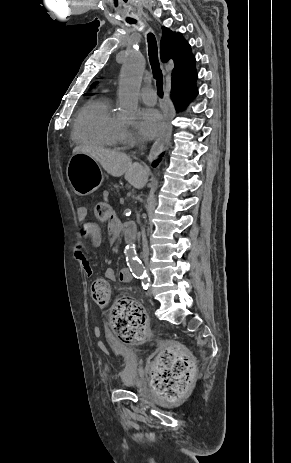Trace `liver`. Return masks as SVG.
<instances>
[{
    "mask_svg": "<svg viewBox=\"0 0 291 463\" xmlns=\"http://www.w3.org/2000/svg\"><path fill=\"white\" fill-rule=\"evenodd\" d=\"M75 153L89 155L114 177L124 175L125 179L137 189L143 188L148 181V169L138 162H132L125 153L84 145L76 146L73 149V154Z\"/></svg>",
    "mask_w": 291,
    "mask_h": 463,
    "instance_id": "6515ba94",
    "label": "liver"
}]
</instances>
